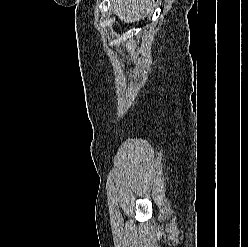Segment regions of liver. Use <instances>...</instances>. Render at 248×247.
<instances>
[{"mask_svg": "<svg viewBox=\"0 0 248 247\" xmlns=\"http://www.w3.org/2000/svg\"><path fill=\"white\" fill-rule=\"evenodd\" d=\"M150 5L149 0H117L114 4L115 14L124 23H134L144 19Z\"/></svg>", "mask_w": 248, "mask_h": 247, "instance_id": "liver-1", "label": "liver"}]
</instances>
